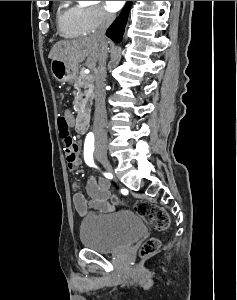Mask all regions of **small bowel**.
<instances>
[{
	"instance_id": "small-bowel-1",
	"label": "small bowel",
	"mask_w": 237,
	"mask_h": 300,
	"mask_svg": "<svg viewBox=\"0 0 237 300\" xmlns=\"http://www.w3.org/2000/svg\"><path fill=\"white\" fill-rule=\"evenodd\" d=\"M64 117L69 126L74 124V118L69 111L65 112ZM65 156L69 170L76 171L81 166V149L78 143L70 150H65ZM73 187L76 189L77 184L74 183ZM86 190L90 200H87L81 192H75L72 197L74 207L80 216H85L90 209L97 212H111L114 210L108 179L90 177L87 181Z\"/></svg>"
}]
</instances>
